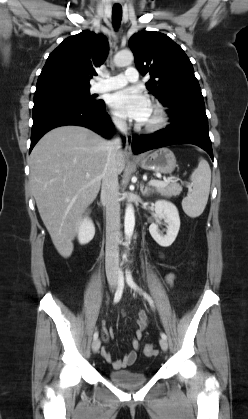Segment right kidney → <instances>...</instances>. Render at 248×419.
<instances>
[{
  "mask_svg": "<svg viewBox=\"0 0 248 419\" xmlns=\"http://www.w3.org/2000/svg\"><path fill=\"white\" fill-rule=\"evenodd\" d=\"M76 231L78 241L82 245L89 243L95 235L94 224L88 216H85L78 222Z\"/></svg>",
  "mask_w": 248,
  "mask_h": 419,
  "instance_id": "right-kidney-1",
  "label": "right kidney"
}]
</instances>
